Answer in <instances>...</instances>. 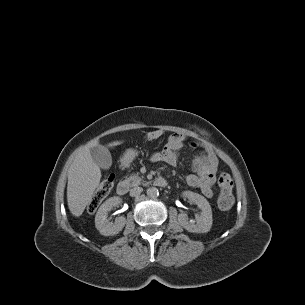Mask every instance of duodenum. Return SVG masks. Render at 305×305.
Segmentation results:
<instances>
[{
    "label": "duodenum",
    "mask_w": 305,
    "mask_h": 305,
    "mask_svg": "<svg viewBox=\"0 0 305 305\" xmlns=\"http://www.w3.org/2000/svg\"><path fill=\"white\" fill-rule=\"evenodd\" d=\"M154 185L158 187H165L167 186V180L163 177H158L154 180ZM129 184L126 181L119 182L117 186V193L119 195H125L128 192Z\"/></svg>",
    "instance_id": "410a0bca"
}]
</instances>
